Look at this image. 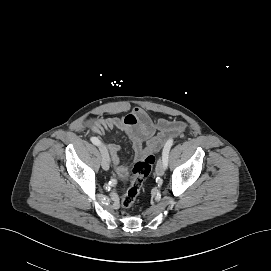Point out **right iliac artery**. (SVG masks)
Masks as SVG:
<instances>
[{
	"label": "right iliac artery",
	"mask_w": 271,
	"mask_h": 271,
	"mask_svg": "<svg viewBox=\"0 0 271 271\" xmlns=\"http://www.w3.org/2000/svg\"><path fill=\"white\" fill-rule=\"evenodd\" d=\"M91 142L97 146H101V142L97 137H91L90 138Z\"/></svg>",
	"instance_id": "obj_1"
}]
</instances>
